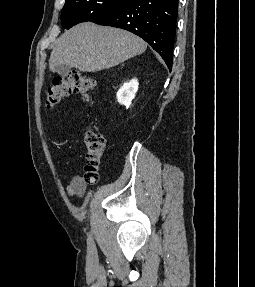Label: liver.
Segmentation results:
<instances>
[{"instance_id": "obj_1", "label": "liver", "mask_w": 255, "mask_h": 287, "mask_svg": "<svg viewBox=\"0 0 255 287\" xmlns=\"http://www.w3.org/2000/svg\"><path fill=\"white\" fill-rule=\"evenodd\" d=\"M146 48V42L131 32L84 22L58 38L51 52L49 68L51 72L56 66L99 72L143 54Z\"/></svg>"}]
</instances>
